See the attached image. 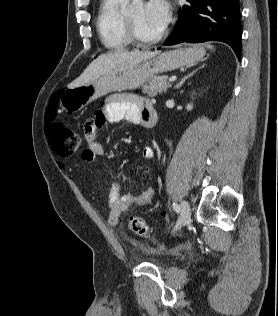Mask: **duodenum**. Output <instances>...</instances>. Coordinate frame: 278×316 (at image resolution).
<instances>
[{
    "instance_id": "duodenum-1",
    "label": "duodenum",
    "mask_w": 278,
    "mask_h": 316,
    "mask_svg": "<svg viewBox=\"0 0 278 316\" xmlns=\"http://www.w3.org/2000/svg\"><path fill=\"white\" fill-rule=\"evenodd\" d=\"M158 122V114L154 107H149L146 109L143 115V124L147 128H153Z\"/></svg>"
}]
</instances>
